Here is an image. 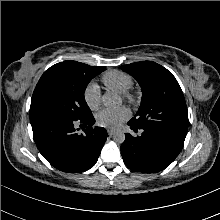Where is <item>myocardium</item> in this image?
Here are the masks:
<instances>
[{
    "mask_svg": "<svg viewBox=\"0 0 220 220\" xmlns=\"http://www.w3.org/2000/svg\"><path fill=\"white\" fill-rule=\"evenodd\" d=\"M122 95H123V98L126 101H128L129 103L137 104L138 97H137V95L134 92H131V91L128 90L127 92L122 93Z\"/></svg>",
    "mask_w": 220,
    "mask_h": 220,
    "instance_id": "1",
    "label": "myocardium"
}]
</instances>
